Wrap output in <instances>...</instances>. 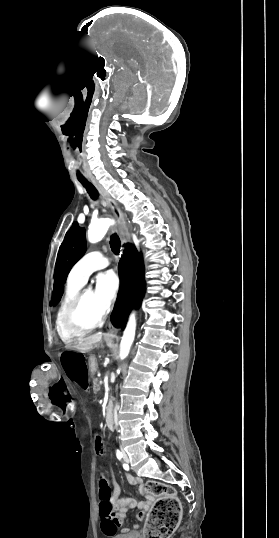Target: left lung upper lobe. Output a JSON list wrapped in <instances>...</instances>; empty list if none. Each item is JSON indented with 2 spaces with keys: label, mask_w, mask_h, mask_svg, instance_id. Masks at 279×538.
Here are the masks:
<instances>
[{
  "label": "left lung upper lobe",
  "mask_w": 279,
  "mask_h": 538,
  "mask_svg": "<svg viewBox=\"0 0 279 538\" xmlns=\"http://www.w3.org/2000/svg\"><path fill=\"white\" fill-rule=\"evenodd\" d=\"M85 251V229L80 227L77 222H74L67 232L58 253L54 275L53 300L50 306H54L60 301L67 275L72 266L84 255Z\"/></svg>",
  "instance_id": "left-lung-upper-lobe-1"
}]
</instances>
